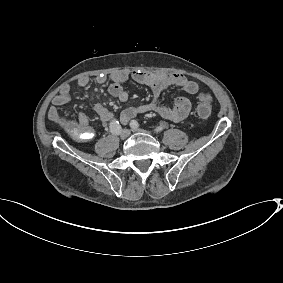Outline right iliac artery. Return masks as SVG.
Returning a JSON list of instances; mask_svg holds the SVG:
<instances>
[{"instance_id": "82829eb1", "label": "right iliac artery", "mask_w": 283, "mask_h": 283, "mask_svg": "<svg viewBox=\"0 0 283 283\" xmlns=\"http://www.w3.org/2000/svg\"><path fill=\"white\" fill-rule=\"evenodd\" d=\"M109 128L110 131L115 135H119L121 132V125L119 124V121L115 119L111 121Z\"/></svg>"}]
</instances>
